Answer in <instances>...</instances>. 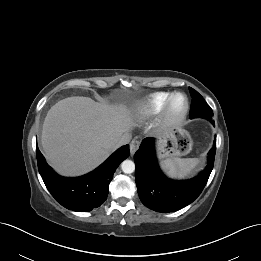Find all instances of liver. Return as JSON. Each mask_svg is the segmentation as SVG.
<instances>
[{"instance_id": "obj_1", "label": "liver", "mask_w": 261, "mask_h": 261, "mask_svg": "<svg viewBox=\"0 0 261 261\" xmlns=\"http://www.w3.org/2000/svg\"><path fill=\"white\" fill-rule=\"evenodd\" d=\"M126 105H108L88 97H68L48 111L41 144L49 164L61 175L85 174L114 152L133 126Z\"/></svg>"}]
</instances>
